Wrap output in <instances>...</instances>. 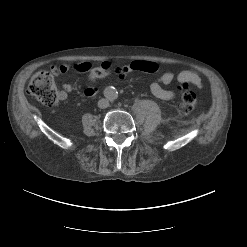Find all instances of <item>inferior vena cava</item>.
Segmentation results:
<instances>
[{
    "mask_svg": "<svg viewBox=\"0 0 247 247\" xmlns=\"http://www.w3.org/2000/svg\"><path fill=\"white\" fill-rule=\"evenodd\" d=\"M109 106V101L107 99H100L98 101V107L101 108V109H104V108H107Z\"/></svg>",
    "mask_w": 247,
    "mask_h": 247,
    "instance_id": "inferior-vena-cava-1",
    "label": "inferior vena cava"
}]
</instances>
